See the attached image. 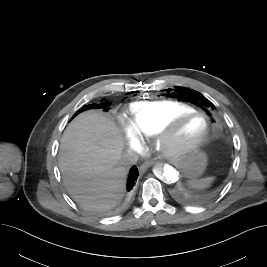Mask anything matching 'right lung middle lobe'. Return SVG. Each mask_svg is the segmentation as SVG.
Returning <instances> with one entry per match:
<instances>
[{
	"label": "right lung middle lobe",
	"instance_id": "1",
	"mask_svg": "<svg viewBox=\"0 0 267 267\" xmlns=\"http://www.w3.org/2000/svg\"><path fill=\"white\" fill-rule=\"evenodd\" d=\"M101 106H104V104H101ZM94 108H99V106L96 105V104L86 105V106H84L80 111H78V112L75 114V116H76L77 114H79L80 112L84 111V110L94 109Z\"/></svg>",
	"mask_w": 267,
	"mask_h": 267
}]
</instances>
